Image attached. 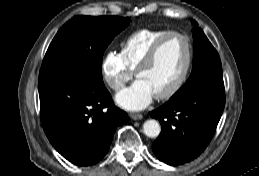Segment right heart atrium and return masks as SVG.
<instances>
[{"label": "right heart atrium", "mask_w": 259, "mask_h": 176, "mask_svg": "<svg viewBox=\"0 0 259 176\" xmlns=\"http://www.w3.org/2000/svg\"><path fill=\"white\" fill-rule=\"evenodd\" d=\"M100 71L104 82L114 91L118 92L133 77V71L125 64L121 53L109 51L103 57Z\"/></svg>", "instance_id": "right-heart-atrium-1"}]
</instances>
